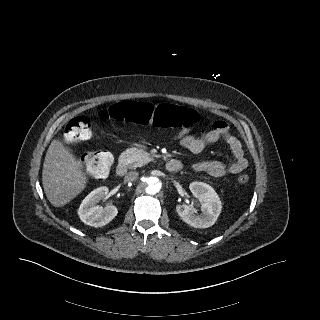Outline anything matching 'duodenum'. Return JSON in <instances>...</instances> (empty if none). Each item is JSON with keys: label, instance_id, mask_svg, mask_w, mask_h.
<instances>
[{"label": "duodenum", "instance_id": "410a0bca", "mask_svg": "<svg viewBox=\"0 0 320 320\" xmlns=\"http://www.w3.org/2000/svg\"><path fill=\"white\" fill-rule=\"evenodd\" d=\"M182 169V163L179 160L171 159L166 163V170L170 173H177ZM128 171L127 164L121 161L116 166V174L120 177L124 176Z\"/></svg>", "mask_w": 320, "mask_h": 320}]
</instances>
